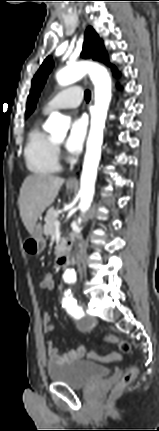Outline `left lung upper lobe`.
Listing matches in <instances>:
<instances>
[{"label":"left lung upper lobe","mask_w":159,"mask_h":431,"mask_svg":"<svg viewBox=\"0 0 159 431\" xmlns=\"http://www.w3.org/2000/svg\"><path fill=\"white\" fill-rule=\"evenodd\" d=\"M83 58H93L94 60L103 61L110 65L107 58V53L103 47L102 41L98 38L95 31L89 27L85 34V42L83 45V51L81 53ZM53 60L51 56H48L43 64L41 65L38 72L35 74L32 80V88L30 95L28 96L27 108L25 116L28 117L35 109L37 99L40 91L43 88L47 76L53 68ZM113 72L116 71L115 66L112 67Z\"/></svg>","instance_id":"1"}]
</instances>
